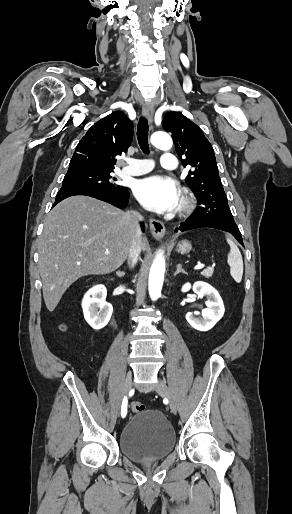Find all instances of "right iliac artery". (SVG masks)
I'll return each mask as SVG.
<instances>
[{"mask_svg": "<svg viewBox=\"0 0 292 514\" xmlns=\"http://www.w3.org/2000/svg\"><path fill=\"white\" fill-rule=\"evenodd\" d=\"M127 405H128V399L125 396L122 401V407H121V416L124 418L127 414Z\"/></svg>", "mask_w": 292, "mask_h": 514, "instance_id": "1", "label": "right iliac artery"}]
</instances>
